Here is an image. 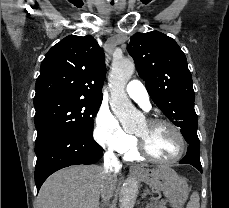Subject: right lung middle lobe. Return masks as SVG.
I'll return each mask as SVG.
<instances>
[{
  "instance_id": "1",
  "label": "right lung middle lobe",
  "mask_w": 229,
  "mask_h": 208,
  "mask_svg": "<svg viewBox=\"0 0 229 208\" xmlns=\"http://www.w3.org/2000/svg\"><path fill=\"white\" fill-rule=\"evenodd\" d=\"M34 122L37 129L35 144L50 135L73 130L93 136V118L101 102H94L73 96L55 95L34 101Z\"/></svg>"
}]
</instances>
